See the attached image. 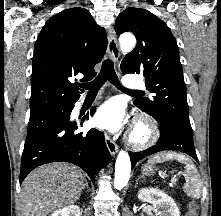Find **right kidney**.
<instances>
[{
	"label": "right kidney",
	"mask_w": 221,
	"mask_h": 216,
	"mask_svg": "<svg viewBox=\"0 0 221 216\" xmlns=\"http://www.w3.org/2000/svg\"><path fill=\"white\" fill-rule=\"evenodd\" d=\"M79 215H80V209L78 208V206L70 205L55 211L50 216H79Z\"/></svg>",
	"instance_id": "right-kidney-1"
}]
</instances>
